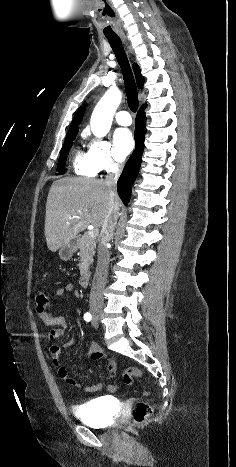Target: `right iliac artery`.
<instances>
[{"mask_svg":"<svg viewBox=\"0 0 236 467\" xmlns=\"http://www.w3.org/2000/svg\"><path fill=\"white\" fill-rule=\"evenodd\" d=\"M91 319H92V315L89 312L84 314V320L85 321L89 322V321H91Z\"/></svg>","mask_w":236,"mask_h":467,"instance_id":"obj_1","label":"right iliac artery"}]
</instances>
